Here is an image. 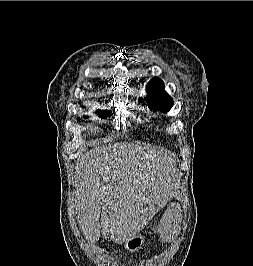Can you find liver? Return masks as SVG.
<instances>
[{
    "label": "liver",
    "instance_id": "obj_1",
    "mask_svg": "<svg viewBox=\"0 0 253 266\" xmlns=\"http://www.w3.org/2000/svg\"><path fill=\"white\" fill-rule=\"evenodd\" d=\"M168 160L162 151L126 142L81 157L76 206L89 243H96L100 232L122 244L142 231L155 212L158 179Z\"/></svg>",
    "mask_w": 253,
    "mask_h": 266
}]
</instances>
